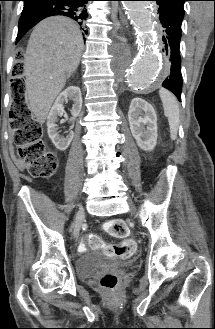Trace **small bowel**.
Here are the masks:
<instances>
[{
	"label": "small bowel",
	"mask_w": 215,
	"mask_h": 329,
	"mask_svg": "<svg viewBox=\"0 0 215 329\" xmlns=\"http://www.w3.org/2000/svg\"><path fill=\"white\" fill-rule=\"evenodd\" d=\"M17 163H18L19 167H21V168L24 167L23 163L20 160H17Z\"/></svg>",
	"instance_id": "obj_1"
}]
</instances>
